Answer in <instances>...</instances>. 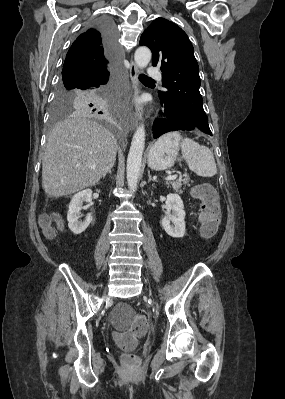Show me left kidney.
<instances>
[{
  "instance_id": "obj_1",
  "label": "left kidney",
  "mask_w": 285,
  "mask_h": 399,
  "mask_svg": "<svg viewBox=\"0 0 285 399\" xmlns=\"http://www.w3.org/2000/svg\"><path fill=\"white\" fill-rule=\"evenodd\" d=\"M165 205L167 212L162 219V226L165 232L173 238H182L185 235L186 214L181 197L178 194H168ZM170 221L174 226L170 225Z\"/></svg>"
}]
</instances>
